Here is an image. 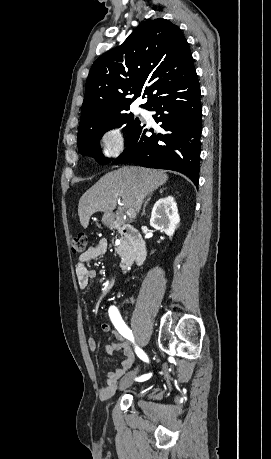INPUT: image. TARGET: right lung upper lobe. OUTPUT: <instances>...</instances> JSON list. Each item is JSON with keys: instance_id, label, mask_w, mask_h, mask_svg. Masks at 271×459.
<instances>
[{"instance_id": "obj_1", "label": "right lung upper lobe", "mask_w": 271, "mask_h": 459, "mask_svg": "<svg viewBox=\"0 0 271 459\" xmlns=\"http://www.w3.org/2000/svg\"><path fill=\"white\" fill-rule=\"evenodd\" d=\"M194 72L191 51L179 27L163 18L143 21L122 45L92 65L80 122L126 112L141 94L150 101ZM131 94L133 98L126 97Z\"/></svg>"}]
</instances>
